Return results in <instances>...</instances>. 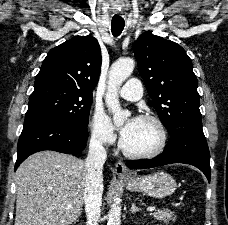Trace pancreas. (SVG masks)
<instances>
[{
	"label": "pancreas",
	"instance_id": "cf45deb5",
	"mask_svg": "<svg viewBox=\"0 0 228 225\" xmlns=\"http://www.w3.org/2000/svg\"><path fill=\"white\" fill-rule=\"evenodd\" d=\"M153 217H155L157 221H163L165 225H169V221H176V217H174L172 211H169V209H163V211L153 213Z\"/></svg>",
	"mask_w": 228,
	"mask_h": 225
}]
</instances>
